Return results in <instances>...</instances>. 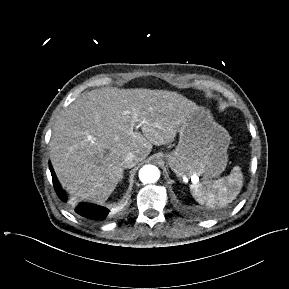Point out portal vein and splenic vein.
Segmentation results:
<instances>
[{
    "mask_svg": "<svg viewBox=\"0 0 289 289\" xmlns=\"http://www.w3.org/2000/svg\"><path fill=\"white\" fill-rule=\"evenodd\" d=\"M134 121H138L136 116H134Z\"/></svg>",
    "mask_w": 289,
    "mask_h": 289,
    "instance_id": "18ae733b",
    "label": "portal vein and splenic vein"
}]
</instances>
